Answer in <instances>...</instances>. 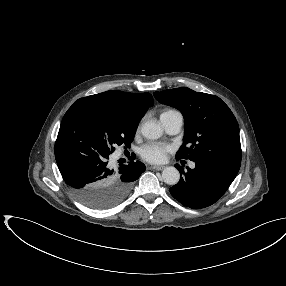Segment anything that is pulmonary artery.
Here are the masks:
<instances>
[{
    "label": "pulmonary artery",
    "instance_id": "1",
    "mask_svg": "<svg viewBox=\"0 0 286 286\" xmlns=\"http://www.w3.org/2000/svg\"><path fill=\"white\" fill-rule=\"evenodd\" d=\"M162 125L168 134H177L183 126V116L180 112H174L161 119ZM191 168L195 167V163L189 164Z\"/></svg>",
    "mask_w": 286,
    "mask_h": 286
}]
</instances>
